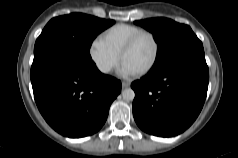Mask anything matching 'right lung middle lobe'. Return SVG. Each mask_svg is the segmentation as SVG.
<instances>
[{"label": "right lung middle lobe", "mask_w": 238, "mask_h": 158, "mask_svg": "<svg viewBox=\"0 0 238 158\" xmlns=\"http://www.w3.org/2000/svg\"><path fill=\"white\" fill-rule=\"evenodd\" d=\"M115 23L114 20L71 13L51 19L37 38L34 53L46 45L55 44L79 57L92 60L90 47L95 37Z\"/></svg>", "instance_id": "1"}]
</instances>
